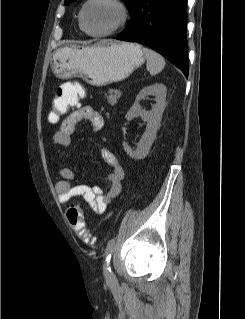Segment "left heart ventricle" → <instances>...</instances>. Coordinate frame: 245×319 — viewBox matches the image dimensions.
<instances>
[{
	"label": "left heart ventricle",
	"mask_w": 245,
	"mask_h": 319,
	"mask_svg": "<svg viewBox=\"0 0 245 319\" xmlns=\"http://www.w3.org/2000/svg\"><path fill=\"white\" fill-rule=\"evenodd\" d=\"M119 11L107 3H94L85 13V27L90 32L105 31L114 26L119 20Z\"/></svg>",
	"instance_id": "b2bd125f"
}]
</instances>
